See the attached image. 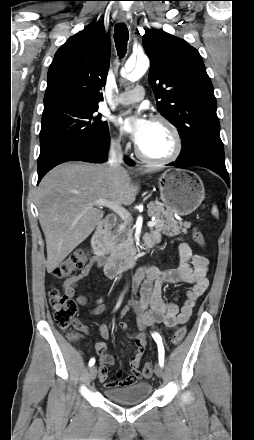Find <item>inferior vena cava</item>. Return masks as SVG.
Returning <instances> with one entry per match:
<instances>
[{"label":"inferior vena cava","instance_id":"1","mask_svg":"<svg viewBox=\"0 0 254 440\" xmlns=\"http://www.w3.org/2000/svg\"><path fill=\"white\" fill-rule=\"evenodd\" d=\"M123 163V153L120 145V141H113L110 144L108 152V165L115 171L121 169Z\"/></svg>","mask_w":254,"mask_h":440}]
</instances>
